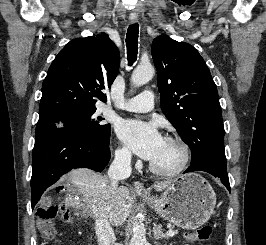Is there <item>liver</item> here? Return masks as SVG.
Instances as JSON below:
<instances>
[{
	"mask_svg": "<svg viewBox=\"0 0 266 245\" xmlns=\"http://www.w3.org/2000/svg\"><path fill=\"white\" fill-rule=\"evenodd\" d=\"M67 179L74 187L75 197L81 195L83 201L82 203L80 199H72L71 207L78 209V207L86 205L87 209H90L92 215H94V211L99 209L100 201H103L102 197L105 193L102 189L108 185L109 177H103L100 173H94L90 169H73L68 173ZM171 183L172 181H164V183H156L153 187L155 191H164ZM115 193L116 195L106 199L109 207L107 217L110 225L119 227V225L125 223L130 215L131 197L127 187H117Z\"/></svg>",
	"mask_w": 266,
	"mask_h": 245,
	"instance_id": "liver-1",
	"label": "liver"
}]
</instances>
